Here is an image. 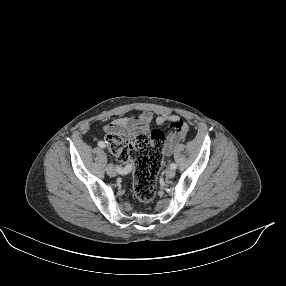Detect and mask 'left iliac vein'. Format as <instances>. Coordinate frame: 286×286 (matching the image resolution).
Segmentation results:
<instances>
[{
	"label": "left iliac vein",
	"mask_w": 286,
	"mask_h": 286,
	"mask_svg": "<svg viewBox=\"0 0 286 286\" xmlns=\"http://www.w3.org/2000/svg\"><path fill=\"white\" fill-rule=\"evenodd\" d=\"M165 175L167 178H173L175 176V171L171 168L166 169Z\"/></svg>",
	"instance_id": "obj_1"
}]
</instances>
